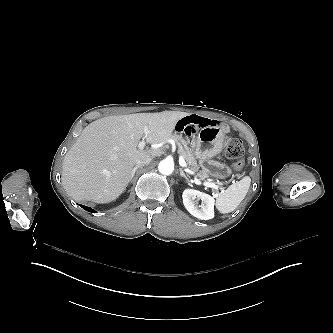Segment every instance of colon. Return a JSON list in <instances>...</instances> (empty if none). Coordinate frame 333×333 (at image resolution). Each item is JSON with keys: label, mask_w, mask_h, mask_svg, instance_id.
I'll use <instances>...</instances> for the list:
<instances>
[{"label": "colon", "mask_w": 333, "mask_h": 333, "mask_svg": "<svg viewBox=\"0 0 333 333\" xmlns=\"http://www.w3.org/2000/svg\"><path fill=\"white\" fill-rule=\"evenodd\" d=\"M244 154V147L240 140L233 139L228 142L226 146V156L227 158L234 160L236 162L237 168L242 166V156Z\"/></svg>", "instance_id": "5ec220e1"}]
</instances>
